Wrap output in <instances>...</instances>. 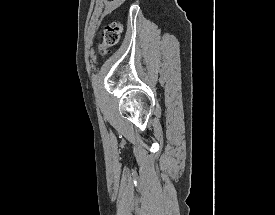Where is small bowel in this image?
<instances>
[{
  "mask_svg": "<svg viewBox=\"0 0 275 215\" xmlns=\"http://www.w3.org/2000/svg\"><path fill=\"white\" fill-rule=\"evenodd\" d=\"M125 0H113L111 3L108 5V9H113L119 5H121Z\"/></svg>",
  "mask_w": 275,
  "mask_h": 215,
  "instance_id": "c3829d8e",
  "label": "small bowel"
}]
</instances>
